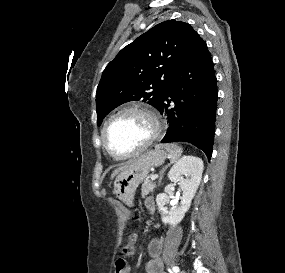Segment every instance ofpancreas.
<instances>
[{
    "label": "pancreas",
    "instance_id": "obj_1",
    "mask_svg": "<svg viewBox=\"0 0 285 273\" xmlns=\"http://www.w3.org/2000/svg\"><path fill=\"white\" fill-rule=\"evenodd\" d=\"M156 187V183L152 182L150 179H146L141 188V195L142 197H145L149 193L153 192Z\"/></svg>",
    "mask_w": 285,
    "mask_h": 273
}]
</instances>
